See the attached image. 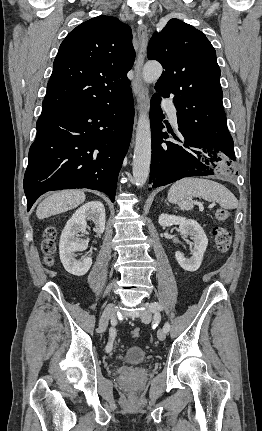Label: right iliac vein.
<instances>
[{"instance_id":"obj_1","label":"right iliac vein","mask_w":262,"mask_h":431,"mask_svg":"<svg viewBox=\"0 0 262 431\" xmlns=\"http://www.w3.org/2000/svg\"><path fill=\"white\" fill-rule=\"evenodd\" d=\"M115 308H116V306L113 303L112 304H108L105 307V309H104V311L102 313V316L100 318V321H99V331L100 332H104L106 330L109 321L114 316V313H115V310H116Z\"/></svg>"}]
</instances>
